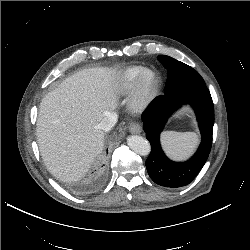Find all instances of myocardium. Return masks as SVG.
Masks as SVG:
<instances>
[{
	"instance_id": "1",
	"label": "myocardium",
	"mask_w": 250,
	"mask_h": 250,
	"mask_svg": "<svg viewBox=\"0 0 250 250\" xmlns=\"http://www.w3.org/2000/svg\"><path fill=\"white\" fill-rule=\"evenodd\" d=\"M150 76L149 84L146 78ZM159 89V79L157 74L151 69H145L132 87L129 108L133 113L145 111L157 95Z\"/></svg>"
}]
</instances>
